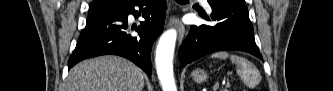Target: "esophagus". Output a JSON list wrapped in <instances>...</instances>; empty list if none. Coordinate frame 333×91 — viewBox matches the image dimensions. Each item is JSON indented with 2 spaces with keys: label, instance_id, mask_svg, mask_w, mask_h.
Here are the masks:
<instances>
[{
  "label": "esophagus",
  "instance_id": "obj_1",
  "mask_svg": "<svg viewBox=\"0 0 333 91\" xmlns=\"http://www.w3.org/2000/svg\"><path fill=\"white\" fill-rule=\"evenodd\" d=\"M173 24L175 25V27L178 30V41H179V44H181V42L183 40V37H184V34H185V27H184L183 23L180 20L174 21Z\"/></svg>",
  "mask_w": 333,
  "mask_h": 91
}]
</instances>
